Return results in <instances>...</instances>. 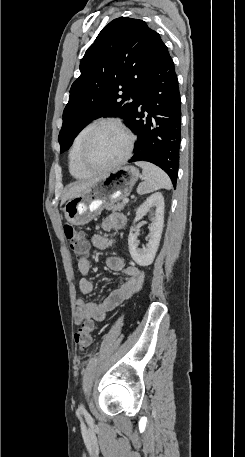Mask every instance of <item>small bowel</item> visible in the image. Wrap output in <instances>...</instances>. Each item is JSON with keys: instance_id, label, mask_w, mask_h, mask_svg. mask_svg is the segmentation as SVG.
<instances>
[{"instance_id": "1", "label": "small bowel", "mask_w": 245, "mask_h": 457, "mask_svg": "<svg viewBox=\"0 0 245 457\" xmlns=\"http://www.w3.org/2000/svg\"><path fill=\"white\" fill-rule=\"evenodd\" d=\"M126 224L125 215L113 212L102 222V229L106 233L122 229ZM94 246L99 249H106L114 244V240L105 235L97 234L91 239ZM109 269L122 274L119 286L113 290L105 299L95 303L84 298L76 301L77 310L75 313V323L82 324L87 320L101 322L105 319L106 313L128 300L133 294L138 292L145 279L144 271L135 265L126 266L124 260L118 256H111L106 259ZM78 269L81 273L78 286L82 294L88 295L93 291V282L90 278L91 264L87 258L78 260Z\"/></svg>"}]
</instances>
